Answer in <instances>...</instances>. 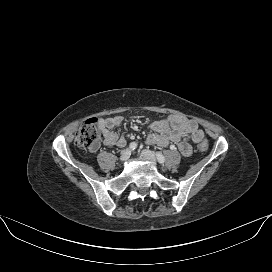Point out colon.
I'll return each mask as SVG.
<instances>
[{"mask_svg":"<svg viewBox=\"0 0 272 272\" xmlns=\"http://www.w3.org/2000/svg\"><path fill=\"white\" fill-rule=\"evenodd\" d=\"M103 137L102 130L98 127L97 119L91 118L86 120L79 128L75 143L82 148H90L95 142H99ZM200 151L208 149L207 141H203L198 146Z\"/></svg>","mask_w":272,"mask_h":272,"instance_id":"1","label":"colon"}]
</instances>
